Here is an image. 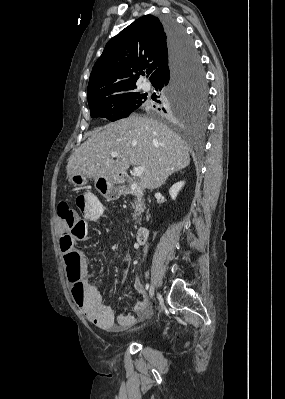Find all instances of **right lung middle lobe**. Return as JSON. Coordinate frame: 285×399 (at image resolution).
<instances>
[{
    "label": "right lung middle lobe",
    "instance_id": "1",
    "mask_svg": "<svg viewBox=\"0 0 285 399\" xmlns=\"http://www.w3.org/2000/svg\"><path fill=\"white\" fill-rule=\"evenodd\" d=\"M163 92L168 102L167 107L153 106L150 102H146V96L136 92L135 88L90 100L88 104L91 117L116 121L128 117L141 105L154 107L160 114H167L181 120L202 117L207 108V87L196 51L182 79L170 91L163 90Z\"/></svg>",
    "mask_w": 285,
    "mask_h": 399
}]
</instances>
